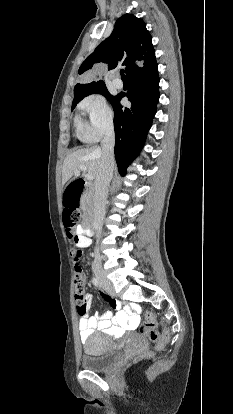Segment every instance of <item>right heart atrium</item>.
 <instances>
[{
    "mask_svg": "<svg viewBox=\"0 0 233 414\" xmlns=\"http://www.w3.org/2000/svg\"><path fill=\"white\" fill-rule=\"evenodd\" d=\"M79 108L87 118L82 134V138L85 141H98L112 130L114 113L102 95L91 94L85 97L80 102Z\"/></svg>",
    "mask_w": 233,
    "mask_h": 414,
    "instance_id": "d8ad5b80",
    "label": "right heart atrium"
}]
</instances>
